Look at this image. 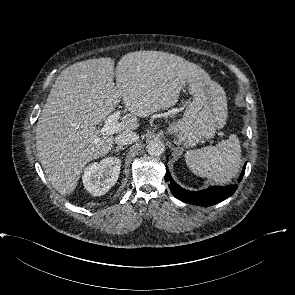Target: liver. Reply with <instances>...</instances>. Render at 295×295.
I'll return each instance as SVG.
<instances>
[{
	"label": "liver",
	"instance_id": "6515ba94",
	"mask_svg": "<svg viewBox=\"0 0 295 295\" xmlns=\"http://www.w3.org/2000/svg\"><path fill=\"white\" fill-rule=\"evenodd\" d=\"M114 64V59L102 57L65 68L39 116V160L51 185L63 196L74 191L90 161L113 147L114 136L102 135L96 126L121 99L130 114L121 119L117 134L137 129L138 117L173 107L185 85L209 79L198 65L162 51L127 53L116 72Z\"/></svg>",
	"mask_w": 295,
	"mask_h": 295
}]
</instances>
